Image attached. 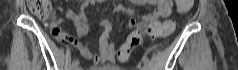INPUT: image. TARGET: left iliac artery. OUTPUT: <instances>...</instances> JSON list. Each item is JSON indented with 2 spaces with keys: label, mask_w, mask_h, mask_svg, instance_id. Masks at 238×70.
Wrapping results in <instances>:
<instances>
[{
  "label": "left iliac artery",
  "mask_w": 238,
  "mask_h": 70,
  "mask_svg": "<svg viewBox=\"0 0 238 70\" xmlns=\"http://www.w3.org/2000/svg\"><path fill=\"white\" fill-rule=\"evenodd\" d=\"M142 61H143V63L146 64V65H149V64H150V61H149V59H148L146 56H143Z\"/></svg>",
  "instance_id": "left-iliac-artery-1"
}]
</instances>
